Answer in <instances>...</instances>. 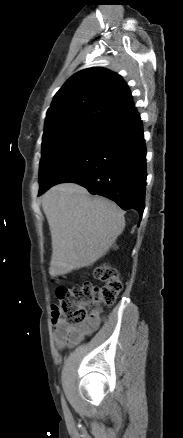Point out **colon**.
I'll return each mask as SVG.
<instances>
[{"mask_svg":"<svg viewBox=\"0 0 183 438\" xmlns=\"http://www.w3.org/2000/svg\"><path fill=\"white\" fill-rule=\"evenodd\" d=\"M93 273L102 283L101 286L83 283L70 288H57L60 303L53 307V323L62 320L70 327H81L88 318V307L110 305L116 300L123 287L117 271L107 265H98Z\"/></svg>","mask_w":183,"mask_h":438,"instance_id":"colon-1","label":"colon"}]
</instances>
